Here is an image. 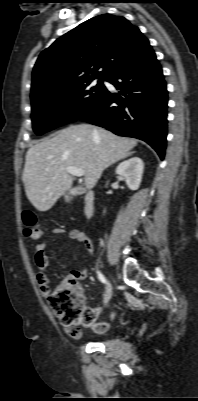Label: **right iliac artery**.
<instances>
[{
  "mask_svg": "<svg viewBox=\"0 0 198 401\" xmlns=\"http://www.w3.org/2000/svg\"><path fill=\"white\" fill-rule=\"evenodd\" d=\"M97 274H98L99 280H100L102 283L106 284V279H105L104 275H103L101 272H99V271L97 272Z\"/></svg>",
  "mask_w": 198,
  "mask_h": 401,
  "instance_id": "82829eb1",
  "label": "right iliac artery"
}]
</instances>
